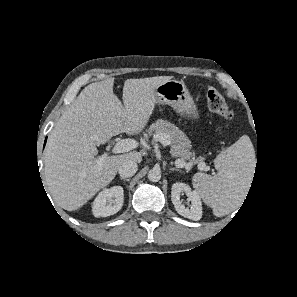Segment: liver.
<instances>
[{
    "label": "liver",
    "instance_id": "1",
    "mask_svg": "<svg viewBox=\"0 0 297 297\" xmlns=\"http://www.w3.org/2000/svg\"><path fill=\"white\" fill-rule=\"evenodd\" d=\"M168 80L170 76L127 79L124 105L113 92L114 78L81 91L50 133L44 156L47 188L61 208L79 209L114 179L124 161H142L141 152L131 151L98 165L96 146L121 133L142 132L156 104L154 88Z\"/></svg>",
    "mask_w": 297,
    "mask_h": 297
}]
</instances>
